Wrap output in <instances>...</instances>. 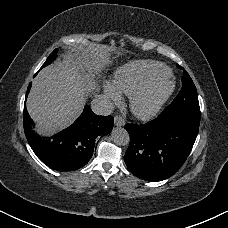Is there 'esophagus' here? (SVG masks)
Listing matches in <instances>:
<instances>
[{"mask_svg":"<svg viewBox=\"0 0 228 228\" xmlns=\"http://www.w3.org/2000/svg\"><path fill=\"white\" fill-rule=\"evenodd\" d=\"M114 123L116 126H124L125 122L120 116H116L114 119Z\"/></svg>","mask_w":228,"mask_h":228,"instance_id":"obj_1","label":"esophagus"}]
</instances>
